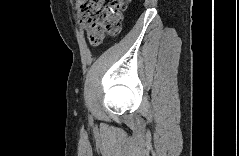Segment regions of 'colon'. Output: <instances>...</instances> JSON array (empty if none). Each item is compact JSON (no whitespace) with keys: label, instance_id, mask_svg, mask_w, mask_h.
Listing matches in <instances>:
<instances>
[{"label":"colon","instance_id":"obj_1","mask_svg":"<svg viewBox=\"0 0 239 156\" xmlns=\"http://www.w3.org/2000/svg\"><path fill=\"white\" fill-rule=\"evenodd\" d=\"M125 8L126 3L123 0H90L80 5V22L92 45L98 46L107 36L121 31Z\"/></svg>","mask_w":239,"mask_h":156}]
</instances>
